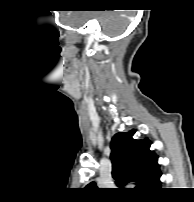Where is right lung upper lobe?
Here are the masks:
<instances>
[{
    "instance_id": "1",
    "label": "right lung upper lobe",
    "mask_w": 194,
    "mask_h": 202,
    "mask_svg": "<svg viewBox=\"0 0 194 202\" xmlns=\"http://www.w3.org/2000/svg\"><path fill=\"white\" fill-rule=\"evenodd\" d=\"M134 133V130L128 133L121 132L113 137L112 176L118 182V186L135 182L139 192L148 193L160 188L161 185L158 156L149 150L151 142L147 138L135 140L132 138ZM89 185L96 187L94 182Z\"/></svg>"
}]
</instances>
